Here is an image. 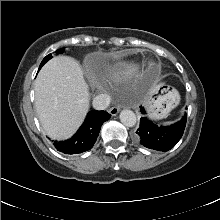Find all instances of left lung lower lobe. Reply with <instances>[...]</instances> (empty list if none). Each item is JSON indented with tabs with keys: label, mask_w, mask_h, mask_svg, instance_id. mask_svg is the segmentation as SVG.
Listing matches in <instances>:
<instances>
[{
	"label": "left lung lower lobe",
	"mask_w": 220,
	"mask_h": 220,
	"mask_svg": "<svg viewBox=\"0 0 220 220\" xmlns=\"http://www.w3.org/2000/svg\"><path fill=\"white\" fill-rule=\"evenodd\" d=\"M140 111L145 114L144 108L141 107ZM185 126L186 115L179 122L167 127L158 126L142 117L135 137L140 144L149 149L168 151L178 143Z\"/></svg>",
	"instance_id": "left-lung-lower-lobe-1"
}]
</instances>
